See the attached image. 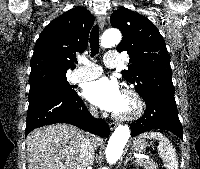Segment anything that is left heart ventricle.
<instances>
[{
    "label": "left heart ventricle",
    "instance_id": "obj_1",
    "mask_svg": "<svg viewBox=\"0 0 200 169\" xmlns=\"http://www.w3.org/2000/svg\"><path fill=\"white\" fill-rule=\"evenodd\" d=\"M132 109V102L131 100L123 94L122 102L118 113H127Z\"/></svg>",
    "mask_w": 200,
    "mask_h": 169
}]
</instances>
